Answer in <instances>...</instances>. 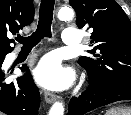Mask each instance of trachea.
I'll return each mask as SVG.
<instances>
[{"label": "trachea", "mask_w": 131, "mask_h": 115, "mask_svg": "<svg viewBox=\"0 0 131 115\" xmlns=\"http://www.w3.org/2000/svg\"><path fill=\"white\" fill-rule=\"evenodd\" d=\"M54 3V0H41L39 22L36 31L29 37L16 38L23 45V49H32L44 37H51Z\"/></svg>", "instance_id": "1"}]
</instances>
